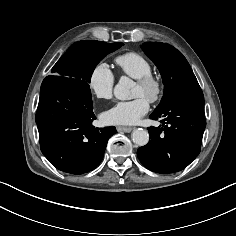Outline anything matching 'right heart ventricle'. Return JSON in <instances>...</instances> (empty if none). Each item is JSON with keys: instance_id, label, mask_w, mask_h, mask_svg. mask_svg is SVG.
<instances>
[{"instance_id": "e07e8e85", "label": "right heart ventricle", "mask_w": 236, "mask_h": 236, "mask_svg": "<svg viewBox=\"0 0 236 236\" xmlns=\"http://www.w3.org/2000/svg\"><path fill=\"white\" fill-rule=\"evenodd\" d=\"M115 62L123 74L134 79L152 73L149 60L137 52L121 54L116 57Z\"/></svg>"}]
</instances>
